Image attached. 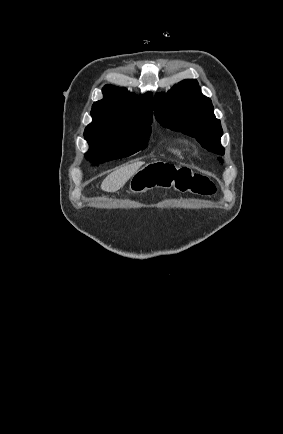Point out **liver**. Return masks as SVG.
Instances as JSON below:
<instances>
[{
	"label": "liver",
	"mask_w": 283,
	"mask_h": 434,
	"mask_svg": "<svg viewBox=\"0 0 283 434\" xmlns=\"http://www.w3.org/2000/svg\"><path fill=\"white\" fill-rule=\"evenodd\" d=\"M144 164L143 161H137L114 170L103 180L101 189L106 192L118 191Z\"/></svg>",
	"instance_id": "obj_1"
}]
</instances>
